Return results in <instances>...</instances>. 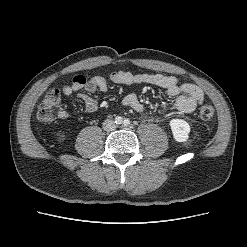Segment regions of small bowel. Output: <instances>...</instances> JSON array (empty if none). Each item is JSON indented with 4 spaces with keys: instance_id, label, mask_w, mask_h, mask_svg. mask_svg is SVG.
<instances>
[{
    "instance_id": "obj_1",
    "label": "small bowel",
    "mask_w": 247,
    "mask_h": 247,
    "mask_svg": "<svg viewBox=\"0 0 247 247\" xmlns=\"http://www.w3.org/2000/svg\"><path fill=\"white\" fill-rule=\"evenodd\" d=\"M110 80L113 83L132 87L138 84H151L161 89H164L166 94L174 98L173 108L182 113L193 112L198 105L204 100L202 89L191 83L179 84L178 79L174 76L162 74H133L124 70H115L110 74ZM108 81L99 75L85 77L77 75L73 77L72 84L62 88V93L65 96L77 95L84 103L88 112H94L98 109V102L89 95L82 92L94 93L96 91H108ZM124 106H127L135 111L143 112L144 105L139 101L136 94L128 93L122 100ZM160 114L165 113V109H159ZM70 114L61 110L59 118L68 119Z\"/></svg>"
}]
</instances>
